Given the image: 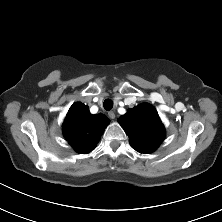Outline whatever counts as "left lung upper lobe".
I'll return each mask as SVG.
<instances>
[{"label": "left lung upper lobe", "mask_w": 222, "mask_h": 222, "mask_svg": "<svg viewBox=\"0 0 222 222\" xmlns=\"http://www.w3.org/2000/svg\"><path fill=\"white\" fill-rule=\"evenodd\" d=\"M118 122L129 136L132 148L140 153L155 151L165 136L157 111L148 103L129 109Z\"/></svg>", "instance_id": "5c2ea615"}]
</instances>
